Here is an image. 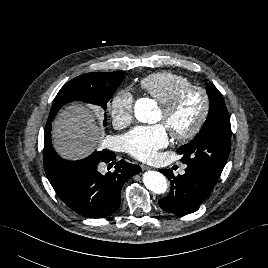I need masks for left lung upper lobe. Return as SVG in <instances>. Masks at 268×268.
Returning a JSON list of instances; mask_svg holds the SVG:
<instances>
[{
    "label": "left lung upper lobe",
    "instance_id": "left-lung-upper-lobe-1",
    "mask_svg": "<svg viewBox=\"0 0 268 268\" xmlns=\"http://www.w3.org/2000/svg\"><path fill=\"white\" fill-rule=\"evenodd\" d=\"M207 94V120L197 136L177 152L182 155V163L207 169L219 178L230 152V117L222 94L212 83L207 85Z\"/></svg>",
    "mask_w": 268,
    "mask_h": 268
}]
</instances>
